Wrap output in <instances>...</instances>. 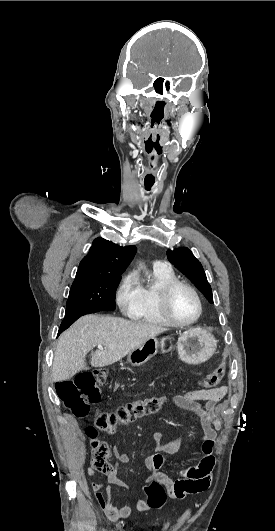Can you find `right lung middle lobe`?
Listing matches in <instances>:
<instances>
[{
  "instance_id": "right-lung-middle-lobe-1",
  "label": "right lung middle lobe",
  "mask_w": 275,
  "mask_h": 531,
  "mask_svg": "<svg viewBox=\"0 0 275 531\" xmlns=\"http://www.w3.org/2000/svg\"><path fill=\"white\" fill-rule=\"evenodd\" d=\"M120 280L121 276L75 278L61 325L72 324L85 314L114 310L115 292Z\"/></svg>"
}]
</instances>
